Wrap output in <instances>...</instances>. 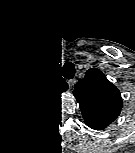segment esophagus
Listing matches in <instances>:
<instances>
[{"label": "esophagus", "mask_w": 135, "mask_h": 153, "mask_svg": "<svg viewBox=\"0 0 135 153\" xmlns=\"http://www.w3.org/2000/svg\"><path fill=\"white\" fill-rule=\"evenodd\" d=\"M74 82H75V79H71V80H69V84H70V86H73V85H74Z\"/></svg>", "instance_id": "1"}]
</instances>
